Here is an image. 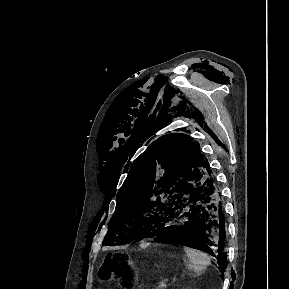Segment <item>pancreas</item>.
Returning <instances> with one entry per match:
<instances>
[{"instance_id":"1","label":"pancreas","mask_w":289,"mask_h":289,"mask_svg":"<svg viewBox=\"0 0 289 289\" xmlns=\"http://www.w3.org/2000/svg\"><path fill=\"white\" fill-rule=\"evenodd\" d=\"M155 289H161V288L158 286V287H156Z\"/></svg>"}]
</instances>
